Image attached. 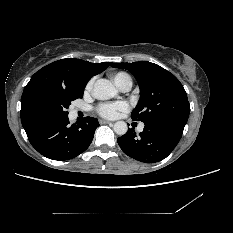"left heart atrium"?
<instances>
[{
    "label": "left heart atrium",
    "mask_w": 233,
    "mask_h": 233,
    "mask_svg": "<svg viewBox=\"0 0 233 233\" xmlns=\"http://www.w3.org/2000/svg\"><path fill=\"white\" fill-rule=\"evenodd\" d=\"M129 109V105L124 101H118L113 103H102L97 107V113L106 119L117 118L121 113L126 112Z\"/></svg>",
    "instance_id": "39dd6f15"
}]
</instances>
